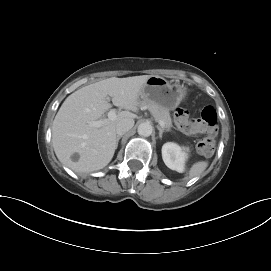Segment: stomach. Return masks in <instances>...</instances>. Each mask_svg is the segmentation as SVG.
I'll return each instance as SVG.
<instances>
[{
	"instance_id": "obj_1",
	"label": "stomach",
	"mask_w": 271,
	"mask_h": 271,
	"mask_svg": "<svg viewBox=\"0 0 271 271\" xmlns=\"http://www.w3.org/2000/svg\"><path fill=\"white\" fill-rule=\"evenodd\" d=\"M187 90L179 84H172L160 76H151L140 90L144 102H153L166 110H173L186 97Z\"/></svg>"
}]
</instances>
